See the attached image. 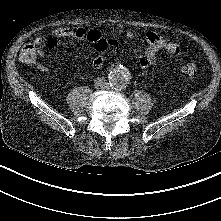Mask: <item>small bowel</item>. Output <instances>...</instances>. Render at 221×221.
I'll use <instances>...</instances> for the list:
<instances>
[{"instance_id": "obj_1", "label": "small bowel", "mask_w": 221, "mask_h": 221, "mask_svg": "<svg viewBox=\"0 0 221 221\" xmlns=\"http://www.w3.org/2000/svg\"><path fill=\"white\" fill-rule=\"evenodd\" d=\"M122 36L127 40H137L138 35L132 31H121ZM72 38L76 41H89L96 45L98 41L104 39L102 34L98 30H87L82 27L73 29L71 27H59L54 29L50 37L45 40L41 36H37L34 39V45L38 48L44 43L50 46L55 45L60 39ZM144 40L147 43V48L143 53L136 54V59L141 68H150L158 64L157 55L160 51H164L169 55H177L180 51L179 45L167 38L166 36L157 32H147L144 36ZM38 53L42 55V52L38 50ZM104 63V52H98V54L92 59L91 65L95 69H99ZM37 68L45 72L48 70L47 66L43 63H37Z\"/></svg>"}]
</instances>
